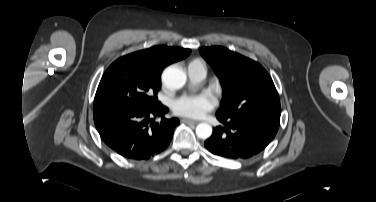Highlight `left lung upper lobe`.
I'll list each match as a JSON object with an SVG mask.
<instances>
[{
  "instance_id": "5c2ea615",
  "label": "left lung upper lobe",
  "mask_w": 376,
  "mask_h": 202,
  "mask_svg": "<svg viewBox=\"0 0 376 202\" xmlns=\"http://www.w3.org/2000/svg\"><path fill=\"white\" fill-rule=\"evenodd\" d=\"M223 87L224 101L217 115L256 117L280 123V100L267 71L257 62L220 46L199 49Z\"/></svg>"
}]
</instances>
